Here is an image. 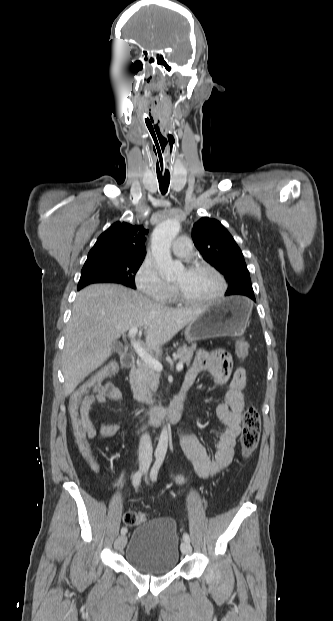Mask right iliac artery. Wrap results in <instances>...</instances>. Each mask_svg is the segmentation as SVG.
I'll return each mask as SVG.
<instances>
[{"mask_svg":"<svg viewBox=\"0 0 333 621\" xmlns=\"http://www.w3.org/2000/svg\"><path fill=\"white\" fill-rule=\"evenodd\" d=\"M141 477H142V471H141V470L137 471V472L133 475V478H132V483H133V486H134L135 488H137V487L139 486V483H140V481H141ZM126 533H127V528H126V527H123V528L121 529V534H122V535H125Z\"/></svg>","mask_w":333,"mask_h":621,"instance_id":"82829eb1","label":"right iliac artery"}]
</instances>
